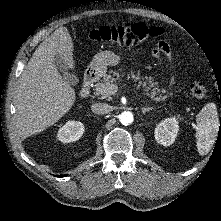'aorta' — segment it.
Wrapping results in <instances>:
<instances>
[{"mask_svg":"<svg viewBox=\"0 0 221 221\" xmlns=\"http://www.w3.org/2000/svg\"><path fill=\"white\" fill-rule=\"evenodd\" d=\"M120 122L123 125H129L133 122V114L131 112H122L119 116Z\"/></svg>","mask_w":221,"mask_h":221,"instance_id":"1","label":"aorta"}]
</instances>
